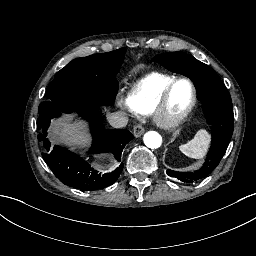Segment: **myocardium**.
Instances as JSON below:
<instances>
[{
	"label": "myocardium",
	"mask_w": 256,
	"mask_h": 256,
	"mask_svg": "<svg viewBox=\"0 0 256 256\" xmlns=\"http://www.w3.org/2000/svg\"><path fill=\"white\" fill-rule=\"evenodd\" d=\"M181 82L187 83L191 88V93H192L191 103L182 112H180L178 114H170L167 117L165 124L162 126L165 129L175 128L180 123H182L189 116V114L194 110V108L196 106V102H197V96H196V89H195L193 82L187 77L177 78L168 86V88L158 97V99L156 101L148 102L151 104L154 111H160V110L167 108L169 99H170L175 87ZM148 114H153V113H148Z\"/></svg>",
	"instance_id": "1"
}]
</instances>
